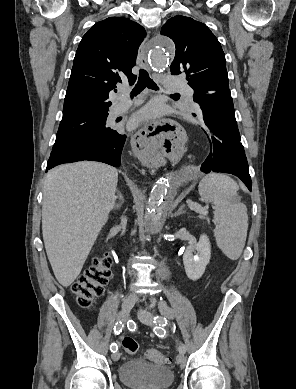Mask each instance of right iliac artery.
<instances>
[{"mask_svg":"<svg viewBox=\"0 0 296 389\" xmlns=\"http://www.w3.org/2000/svg\"><path fill=\"white\" fill-rule=\"evenodd\" d=\"M123 326L124 325H123L122 321H117L116 325L114 326V333L115 334H120V332L122 331ZM117 349H118L117 344L116 343H112L111 346H110L111 352L114 353V352L117 351Z\"/></svg>","mask_w":296,"mask_h":389,"instance_id":"right-iliac-artery-1","label":"right iliac artery"}]
</instances>
